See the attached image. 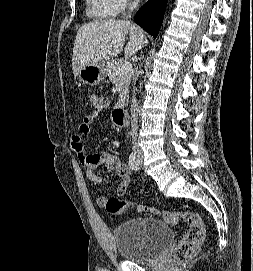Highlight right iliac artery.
<instances>
[{
	"label": "right iliac artery",
	"mask_w": 253,
	"mask_h": 271,
	"mask_svg": "<svg viewBox=\"0 0 253 271\" xmlns=\"http://www.w3.org/2000/svg\"><path fill=\"white\" fill-rule=\"evenodd\" d=\"M129 166L131 170H138L139 164L135 153H131L129 156Z\"/></svg>",
	"instance_id": "obj_1"
}]
</instances>
